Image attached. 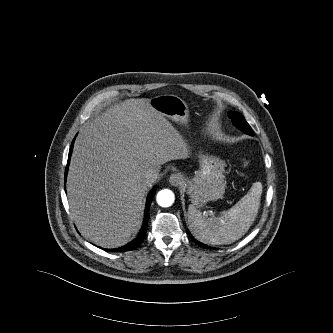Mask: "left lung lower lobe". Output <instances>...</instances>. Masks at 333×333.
<instances>
[{
	"label": "left lung lower lobe",
	"instance_id": "1",
	"mask_svg": "<svg viewBox=\"0 0 333 333\" xmlns=\"http://www.w3.org/2000/svg\"><path fill=\"white\" fill-rule=\"evenodd\" d=\"M189 235H190L191 239H192L196 244H198V245H200V246H202V247H207L206 245L200 243V242L197 241L195 238H193L192 235H191L190 233H189Z\"/></svg>",
	"mask_w": 333,
	"mask_h": 333
}]
</instances>
